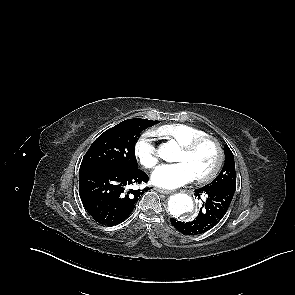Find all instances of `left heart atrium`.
Here are the masks:
<instances>
[{
    "mask_svg": "<svg viewBox=\"0 0 295 295\" xmlns=\"http://www.w3.org/2000/svg\"><path fill=\"white\" fill-rule=\"evenodd\" d=\"M196 178L185 162L166 164L158 167L152 174V182L160 187L173 189L192 182Z\"/></svg>",
    "mask_w": 295,
    "mask_h": 295,
    "instance_id": "obj_1",
    "label": "left heart atrium"
}]
</instances>
